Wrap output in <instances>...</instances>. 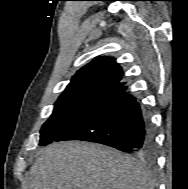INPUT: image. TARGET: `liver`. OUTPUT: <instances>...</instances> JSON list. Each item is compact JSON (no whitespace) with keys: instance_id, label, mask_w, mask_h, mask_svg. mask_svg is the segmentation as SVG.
I'll list each match as a JSON object with an SVG mask.
<instances>
[{"instance_id":"liver-1","label":"liver","mask_w":188,"mask_h":189,"mask_svg":"<svg viewBox=\"0 0 188 189\" xmlns=\"http://www.w3.org/2000/svg\"><path fill=\"white\" fill-rule=\"evenodd\" d=\"M151 174L117 150L88 142L44 148L23 189H153Z\"/></svg>"}]
</instances>
